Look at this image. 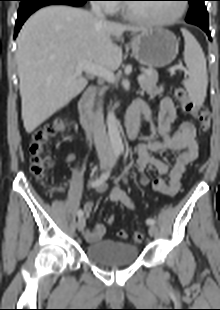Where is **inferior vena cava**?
Wrapping results in <instances>:
<instances>
[{"label":"inferior vena cava","instance_id":"inferior-vena-cava-1","mask_svg":"<svg viewBox=\"0 0 220 310\" xmlns=\"http://www.w3.org/2000/svg\"><path fill=\"white\" fill-rule=\"evenodd\" d=\"M91 12L97 18L105 20V16L102 13L101 5L97 2L91 4ZM103 95V91H99V97ZM92 133L94 143L99 156H110L113 153L112 146L108 140L106 134V127L104 124L103 109L101 101L98 102L96 112L93 118Z\"/></svg>","mask_w":220,"mask_h":310}]
</instances>
